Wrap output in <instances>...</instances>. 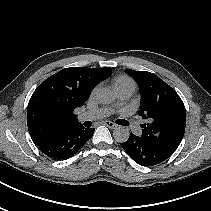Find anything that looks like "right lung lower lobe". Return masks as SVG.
Returning a JSON list of instances; mask_svg holds the SVG:
<instances>
[{"label":"right lung lower lobe","mask_w":211,"mask_h":211,"mask_svg":"<svg viewBox=\"0 0 211 211\" xmlns=\"http://www.w3.org/2000/svg\"><path fill=\"white\" fill-rule=\"evenodd\" d=\"M95 128L82 124L59 130L36 145L46 156L66 160L76 154L92 137Z\"/></svg>","instance_id":"1"}]
</instances>
